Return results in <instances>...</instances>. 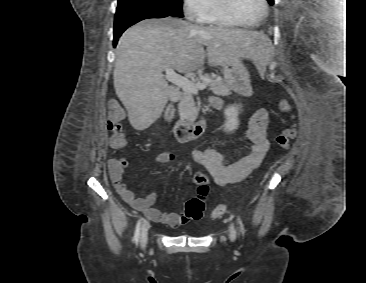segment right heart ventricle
Segmentation results:
<instances>
[{
	"label": "right heart ventricle",
	"mask_w": 366,
	"mask_h": 283,
	"mask_svg": "<svg viewBox=\"0 0 366 283\" xmlns=\"http://www.w3.org/2000/svg\"><path fill=\"white\" fill-rule=\"evenodd\" d=\"M201 23L214 25L221 28H234L237 26L221 10L218 0H209L208 10L200 19Z\"/></svg>",
	"instance_id": "obj_1"
}]
</instances>
